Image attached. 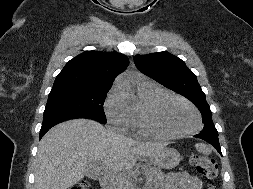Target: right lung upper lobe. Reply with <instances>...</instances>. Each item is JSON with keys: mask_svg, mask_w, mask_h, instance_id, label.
Wrapping results in <instances>:
<instances>
[{"mask_svg": "<svg viewBox=\"0 0 253 189\" xmlns=\"http://www.w3.org/2000/svg\"><path fill=\"white\" fill-rule=\"evenodd\" d=\"M128 64V57L121 53L85 51L67 62L56 77L53 88H111L114 78L123 72Z\"/></svg>", "mask_w": 253, "mask_h": 189, "instance_id": "obj_1", "label": "right lung upper lobe"}]
</instances>
